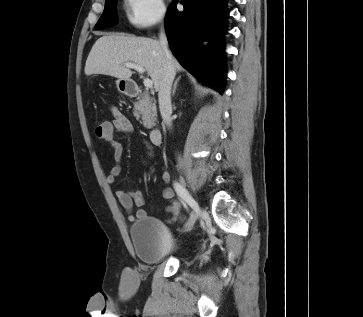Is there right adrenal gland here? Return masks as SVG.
<instances>
[{"label":"right adrenal gland","instance_id":"1","mask_svg":"<svg viewBox=\"0 0 363 317\" xmlns=\"http://www.w3.org/2000/svg\"><path fill=\"white\" fill-rule=\"evenodd\" d=\"M180 78H181V76H179V77L175 80V82H174L173 90H172V95H173V96L175 95L176 88H177V84H178V82H179Z\"/></svg>","mask_w":363,"mask_h":317}]
</instances>
